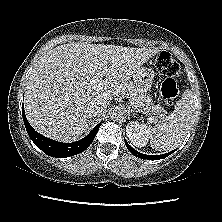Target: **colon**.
Wrapping results in <instances>:
<instances>
[{
	"mask_svg": "<svg viewBox=\"0 0 222 222\" xmlns=\"http://www.w3.org/2000/svg\"><path fill=\"white\" fill-rule=\"evenodd\" d=\"M156 66L165 76L161 85V95L168 105H172L179 94L175 77L181 73V67L167 52H161L157 56Z\"/></svg>",
	"mask_w": 222,
	"mask_h": 222,
	"instance_id": "1",
	"label": "colon"
}]
</instances>
